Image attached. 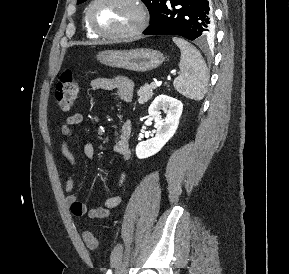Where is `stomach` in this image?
Masks as SVG:
<instances>
[{"instance_id": "stomach-1", "label": "stomach", "mask_w": 289, "mask_h": 274, "mask_svg": "<svg viewBox=\"0 0 289 274\" xmlns=\"http://www.w3.org/2000/svg\"><path fill=\"white\" fill-rule=\"evenodd\" d=\"M97 60L111 67L146 72L159 67L164 62L165 57L160 51L141 48L102 51L97 54Z\"/></svg>"}]
</instances>
